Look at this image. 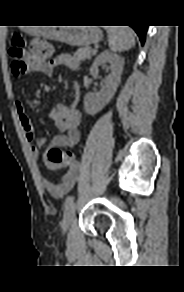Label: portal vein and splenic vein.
I'll list each match as a JSON object with an SVG mask.
<instances>
[{
  "mask_svg": "<svg viewBox=\"0 0 184 292\" xmlns=\"http://www.w3.org/2000/svg\"><path fill=\"white\" fill-rule=\"evenodd\" d=\"M96 52H97V50H95V49H94V50H92V53H93V54H95Z\"/></svg>",
  "mask_w": 184,
  "mask_h": 292,
  "instance_id": "1",
  "label": "portal vein and splenic vein"
}]
</instances>
